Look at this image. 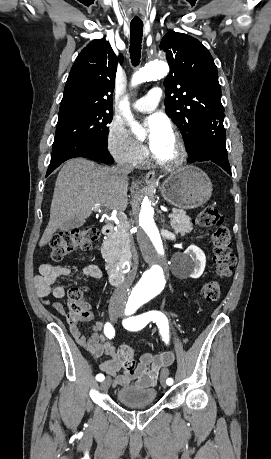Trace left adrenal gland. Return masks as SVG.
<instances>
[{
	"mask_svg": "<svg viewBox=\"0 0 271 459\" xmlns=\"http://www.w3.org/2000/svg\"><path fill=\"white\" fill-rule=\"evenodd\" d=\"M161 222H165V220H164V216H162V220H161ZM164 228H166L165 224H164Z\"/></svg>",
	"mask_w": 271,
	"mask_h": 459,
	"instance_id": "1",
	"label": "left adrenal gland"
}]
</instances>
